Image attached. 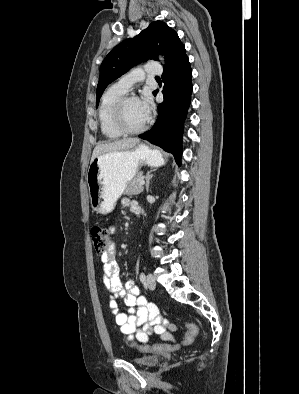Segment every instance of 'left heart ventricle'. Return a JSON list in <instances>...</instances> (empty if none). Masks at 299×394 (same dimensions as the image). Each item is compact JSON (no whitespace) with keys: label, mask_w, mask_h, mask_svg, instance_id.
<instances>
[{"label":"left heart ventricle","mask_w":299,"mask_h":394,"mask_svg":"<svg viewBox=\"0 0 299 394\" xmlns=\"http://www.w3.org/2000/svg\"><path fill=\"white\" fill-rule=\"evenodd\" d=\"M147 117L142 112L137 99H130L124 106V120L125 123L135 128L142 125L146 121Z\"/></svg>","instance_id":"1"}]
</instances>
